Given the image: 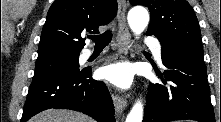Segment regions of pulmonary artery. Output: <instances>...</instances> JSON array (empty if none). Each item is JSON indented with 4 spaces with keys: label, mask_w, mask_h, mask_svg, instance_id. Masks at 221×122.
<instances>
[{
    "label": "pulmonary artery",
    "mask_w": 221,
    "mask_h": 122,
    "mask_svg": "<svg viewBox=\"0 0 221 122\" xmlns=\"http://www.w3.org/2000/svg\"><path fill=\"white\" fill-rule=\"evenodd\" d=\"M145 43H146V45H147L148 47H150V48L152 49V51H153V53H154V56H155V59H156L159 63H161V46H160L159 42H158L156 39H154V38H147ZM91 55H92V51L89 50V49H86V50L82 53L81 57H82L83 60H86V59H88Z\"/></svg>",
    "instance_id": "obj_1"
}]
</instances>
